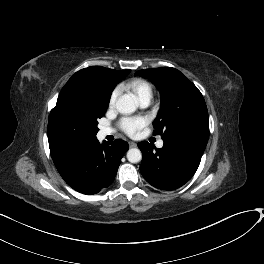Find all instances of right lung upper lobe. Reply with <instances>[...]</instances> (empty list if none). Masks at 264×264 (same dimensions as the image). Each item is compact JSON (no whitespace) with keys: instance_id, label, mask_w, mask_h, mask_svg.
<instances>
[{"instance_id":"right-lung-upper-lobe-1","label":"right lung upper lobe","mask_w":264,"mask_h":264,"mask_svg":"<svg viewBox=\"0 0 264 264\" xmlns=\"http://www.w3.org/2000/svg\"><path fill=\"white\" fill-rule=\"evenodd\" d=\"M130 70L117 71L101 66H91L76 72L62 88L56 106L51 110L48 122V142L53 161L71 152L72 150L96 139L95 136L82 134L78 136L67 135L56 120V110L65 96L71 93H82L97 85H110L115 87Z\"/></svg>"}]
</instances>
